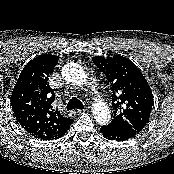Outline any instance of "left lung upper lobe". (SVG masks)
Listing matches in <instances>:
<instances>
[{
    "instance_id": "5c2ea615",
    "label": "left lung upper lobe",
    "mask_w": 174,
    "mask_h": 174,
    "mask_svg": "<svg viewBox=\"0 0 174 174\" xmlns=\"http://www.w3.org/2000/svg\"><path fill=\"white\" fill-rule=\"evenodd\" d=\"M92 61L111 85L114 116L109 126L139 134L149 122L153 105V94L147 80L136 65L123 56H95Z\"/></svg>"
}]
</instances>
